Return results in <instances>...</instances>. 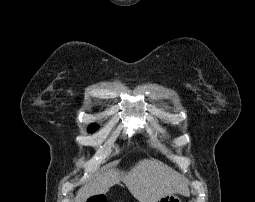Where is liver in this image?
I'll list each match as a JSON object with an SVG mask.
<instances>
[{"instance_id": "obj_1", "label": "liver", "mask_w": 255, "mask_h": 202, "mask_svg": "<svg viewBox=\"0 0 255 202\" xmlns=\"http://www.w3.org/2000/svg\"><path fill=\"white\" fill-rule=\"evenodd\" d=\"M120 181L139 202H157L165 195L189 191L185 179L170 167L144 159L129 172L114 168L103 172L79 189L75 202H86L91 196L106 194Z\"/></svg>"}]
</instances>
